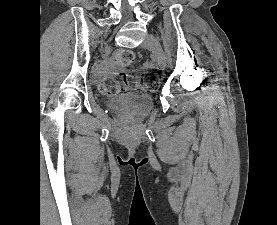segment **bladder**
Segmentation results:
<instances>
[{
    "mask_svg": "<svg viewBox=\"0 0 277 225\" xmlns=\"http://www.w3.org/2000/svg\"><path fill=\"white\" fill-rule=\"evenodd\" d=\"M107 106L114 113L144 116L152 109L153 99L142 92H127L113 95L109 99Z\"/></svg>",
    "mask_w": 277,
    "mask_h": 225,
    "instance_id": "31cf9c89",
    "label": "bladder"
}]
</instances>
